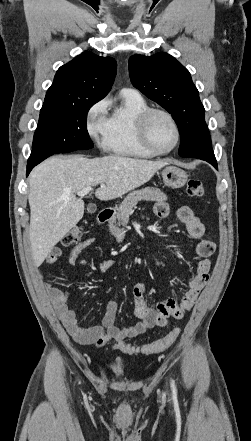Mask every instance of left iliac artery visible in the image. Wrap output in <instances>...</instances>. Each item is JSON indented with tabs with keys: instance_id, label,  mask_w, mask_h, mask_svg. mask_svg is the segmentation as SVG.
I'll use <instances>...</instances> for the list:
<instances>
[{
	"instance_id": "44dca946",
	"label": "left iliac artery",
	"mask_w": 251,
	"mask_h": 441,
	"mask_svg": "<svg viewBox=\"0 0 251 441\" xmlns=\"http://www.w3.org/2000/svg\"><path fill=\"white\" fill-rule=\"evenodd\" d=\"M171 388H172L173 393H176V386H175V382L173 379H171Z\"/></svg>"
}]
</instances>
